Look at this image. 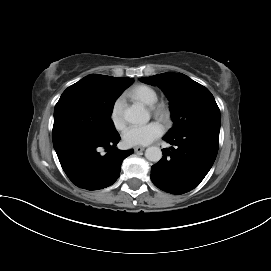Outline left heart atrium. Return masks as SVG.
<instances>
[{
    "label": "left heart atrium",
    "mask_w": 271,
    "mask_h": 271,
    "mask_svg": "<svg viewBox=\"0 0 271 271\" xmlns=\"http://www.w3.org/2000/svg\"><path fill=\"white\" fill-rule=\"evenodd\" d=\"M164 132L161 124L130 125L123 132V141L128 146H144L159 138Z\"/></svg>",
    "instance_id": "1"
}]
</instances>
